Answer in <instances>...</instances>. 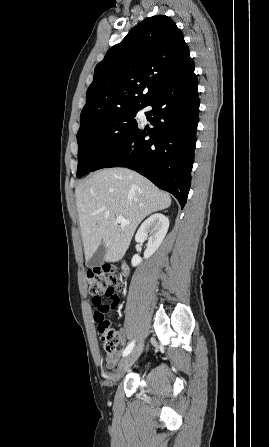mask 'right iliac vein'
<instances>
[{
  "label": "right iliac vein",
  "instance_id": "63e3f726",
  "mask_svg": "<svg viewBox=\"0 0 269 447\" xmlns=\"http://www.w3.org/2000/svg\"><path fill=\"white\" fill-rule=\"evenodd\" d=\"M143 349V343L140 342L139 345L125 358H123L118 365L117 376H121L129 370V368L138 359Z\"/></svg>",
  "mask_w": 269,
  "mask_h": 447
}]
</instances>
